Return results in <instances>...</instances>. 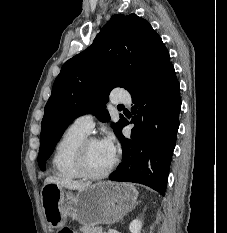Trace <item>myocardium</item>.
Returning <instances> with one entry per match:
<instances>
[{
    "label": "myocardium",
    "instance_id": "1",
    "mask_svg": "<svg viewBox=\"0 0 227 233\" xmlns=\"http://www.w3.org/2000/svg\"><path fill=\"white\" fill-rule=\"evenodd\" d=\"M99 141L98 138L95 137H86L78 146L75 154V168L77 172L81 175V177L87 178V179H102L107 177L116 167L118 163V157L114 155L113 160L111 164L108 166V168L102 172H92L88 166H87V150L89 145L92 142Z\"/></svg>",
    "mask_w": 227,
    "mask_h": 233
}]
</instances>
